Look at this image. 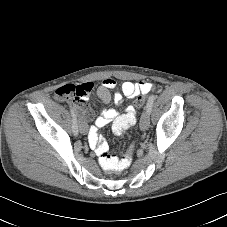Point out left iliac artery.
Masks as SVG:
<instances>
[{
	"label": "left iliac artery",
	"instance_id": "1",
	"mask_svg": "<svg viewBox=\"0 0 227 227\" xmlns=\"http://www.w3.org/2000/svg\"><path fill=\"white\" fill-rule=\"evenodd\" d=\"M155 100V96L154 95H151L148 99V102H147V105H146V108L149 112H151L152 110V106H153V102Z\"/></svg>",
	"mask_w": 227,
	"mask_h": 227
}]
</instances>
